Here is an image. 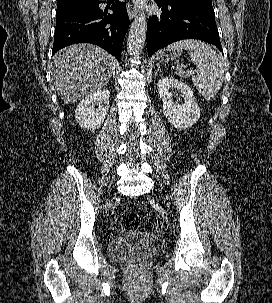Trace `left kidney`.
<instances>
[{
  "mask_svg": "<svg viewBox=\"0 0 272 303\" xmlns=\"http://www.w3.org/2000/svg\"><path fill=\"white\" fill-rule=\"evenodd\" d=\"M171 88L181 91L184 103H174ZM158 93L163 101V114L168 122L177 129H187L200 118V108L194 98L193 91L186 83L164 77L158 81Z\"/></svg>",
  "mask_w": 272,
  "mask_h": 303,
  "instance_id": "left-kidney-1",
  "label": "left kidney"
}]
</instances>
